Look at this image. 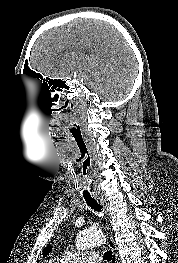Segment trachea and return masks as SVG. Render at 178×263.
I'll use <instances>...</instances> for the list:
<instances>
[{
	"mask_svg": "<svg viewBox=\"0 0 178 263\" xmlns=\"http://www.w3.org/2000/svg\"><path fill=\"white\" fill-rule=\"evenodd\" d=\"M82 175H83V177H85L87 175V169L84 168V167H83V170H82ZM82 195H83V198L86 201V204L91 209H93L94 211H97V212H101L102 211V207L99 204H97V202L92 198L91 193H90V189L88 187H85L82 190ZM104 260H106L108 262L112 260V251H106L104 253Z\"/></svg>",
	"mask_w": 178,
	"mask_h": 263,
	"instance_id": "3493384b",
	"label": "trachea"
}]
</instances>
